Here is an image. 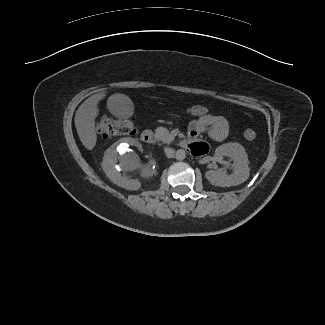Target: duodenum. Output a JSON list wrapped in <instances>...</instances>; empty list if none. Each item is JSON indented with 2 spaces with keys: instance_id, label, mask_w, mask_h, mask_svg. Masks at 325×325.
I'll return each mask as SVG.
<instances>
[{
  "instance_id": "duodenum-1",
  "label": "duodenum",
  "mask_w": 325,
  "mask_h": 325,
  "mask_svg": "<svg viewBox=\"0 0 325 325\" xmlns=\"http://www.w3.org/2000/svg\"><path fill=\"white\" fill-rule=\"evenodd\" d=\"M141 140H142V142H144L146 144H152L155 140L154 133L148 129L144 130L141 133ZM181 145L183 147H189L190 143L187 140H183V141H181Z\"/></svg>"
}]
</instances>
